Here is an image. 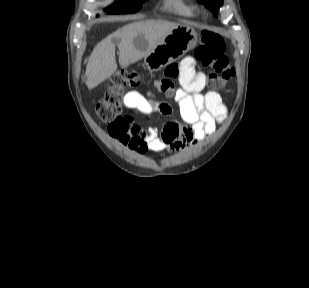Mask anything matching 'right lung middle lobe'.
<instances>
[{"label":"right lung middle lobe","instance_id":"obj_1","mask_svg":"<svg viewBox=\"0 0 309 288\" xmlns=\"http://www.w3.org/2000/svg\"><path fill=\"white\" fill-rule=\"evenodd\" d=\"M146 0H118L106 8L108 14H127L138 11Z\"/></svg>","mask_w":309,"mask_h":288}]
</instances>
